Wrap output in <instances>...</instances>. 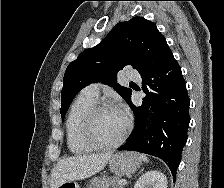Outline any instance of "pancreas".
<instances>
[{"instance_id":"1","label":"pancreas","mask_w":224,"mask_h":188,"mask_svg":"<svg viewBox=\"0 0 224 188\" xmlns=\"http://www.w3.org/2000/svg\"><path fill=\"white\" fill-rule=\"evenodd\" d=\"M118 182L119 178L117 177H95L85 188H123Z\"/></svg>"}]
</instances>
